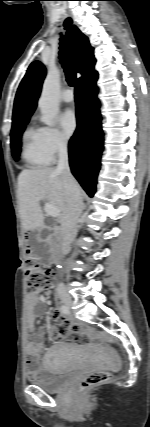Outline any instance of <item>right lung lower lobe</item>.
Listing matches in <instances>:
<instances>
[{"label":"right lung lower lobe","instance_id":"98d812e1","mask_svg":"<svg viewBox=\"0 0 150 427\" xmlns=\"http://www.w3.org/2000/svg\"><path fill=\"white\" fill-rule=\"evenodd\" d=\"M98 75L77 82L75 89L77 129L69 141V162L73 175L92 197L96 190L103 150V133L96 80Z\"/></svg>","mask_w":150,"mask_h":427}]
</instances>
